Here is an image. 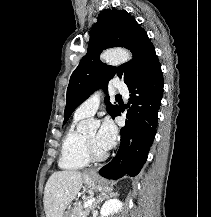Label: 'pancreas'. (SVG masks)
<instances>
[{"instance_id":"obj_1","label":"pancreas","mask_w":211,"mask_h":217,"mask_svg":"<svg viewBox=\"0 0 211 217\" xmlns=\"http://www.w3.org/2000/svg\"><path fill=\"white\" fill-rule=\"evenodd\" d=\"M87 199H85L83 202L85 203ZM93 205L89 206L86 209H83L82 202H78L75 204L74 208L72 209V215L71 217H87L89 215V212L93 209Z\"/></svg>"}]
</instances>
